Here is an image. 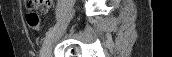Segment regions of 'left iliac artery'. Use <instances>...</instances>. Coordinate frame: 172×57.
Returning a JSON list of instances; mask_svg holds the SVG:
<instances>
[{
    "instance_id": "left-iliac-artery-1",
    "label": "left iliac artery",
    "mask_w": 172,
    "mask_h": 57,
    "mask_svg": "<svg viewBox=\"0 0 172 57\" xmlns=\"http://www.w3.org/2000/svg\"><path fill=\"white\" fill-rule=\"evenodd\" d=\"M59 23H57L54 27H52L47 33L46 36L44 38L43 41V46H42V50H41V57H42V53H43V48H44V44L47 43L48 39L52 36V34L54 33V31L56 30V28L58 27Z\"/></svg>"
}]
</instances>
